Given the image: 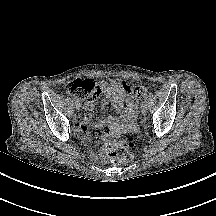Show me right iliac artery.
I'll list each match as a JSON object with an SVG mask.
<instances>
[{
    "label": "right iliac artery",
    "mask_w": 216,
    "mask_h": 216,
    "mask_svg": "<svg viewBox=\"0 0 216 216\" xmlns=\"http://www.w3.org/2000/svg\"><path fill=\"white\" fill-rule=\"evenodd\" d=\"M74 103H75V104H78V103H79V100L76 99V98H74Z\"/></svg>",
    "instance_id": "1"
}]
</instances>
